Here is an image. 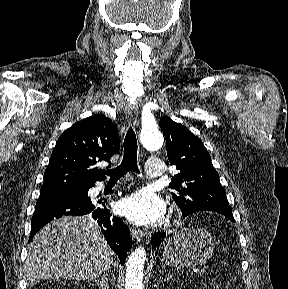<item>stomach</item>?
Wrapping results in <instances>:
<instances>
[{
	"instance_id": "obj_1",
	"label": "stomach",
	"mask_w": 288,
	"mask_h": 289,
	"mask_svg": "<svg viewBox=\"0 0 288 289\" xmlns=\"http://www.w3.org/2000/svg\"><path fill=\"white\" fill-rule=\"evenodd\" d=\"M214 250L211 234L199 227L176 231L166 242L162 259L166 265L193 267L207 261Z\"/></svg>"
}]
</instances>
